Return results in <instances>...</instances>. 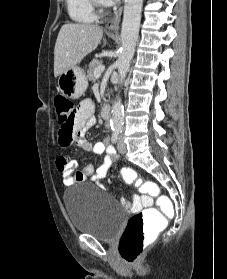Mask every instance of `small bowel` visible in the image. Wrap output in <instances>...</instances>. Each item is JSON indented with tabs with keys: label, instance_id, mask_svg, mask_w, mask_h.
Segmentation results:
<instances>
[{
	"label": "small bowel",
	"instance_id": "obj_1",
	"mask_svg": "<svg viewBox=\"0 0 227 279\" xmlns=\"http://www.w3.org/2000/svg\"><path fill=\"white\" fill-rule=\"evenodd\" d=\"M95 104L91 99L83 100L76 113V125L79 127L71 137L67 140L60 139L62 146H67L70 141H74L77 146L85 151L92 152L97 155H103V164L95 168L93 164L86 165L83 169L77 170L78 160L70 157H59L56 160V168L62 176V181L65 186H71L77 182L93 181L100 182L107 174L109 166L117 160L116 152L110 145V139L106 136L102 141L92 143L85 138L86 129L92 127L96 123L94 116ZM126 170H133L131 168H124L121 170L123 174ZM122 204L133 211H139L144 207L152 204L151 197H139L132 195L130 198L122 200Z\"/></svg>",
	"mask_w": 227,
	"mask_h": 279
}]
</instances>
